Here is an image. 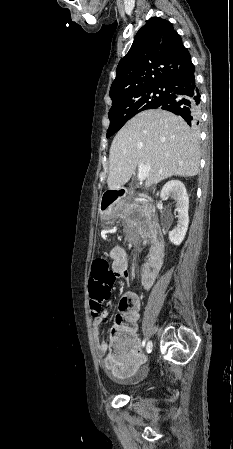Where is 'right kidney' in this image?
Here are the masks:
<instances>
[{"instance_id": "ca27d5eb", "label": "right kidney", "mask_w": 233, "mask_h": 449, "mask_svg": "<svg viewBox=\"0 0 233 449\" xmlns=\"http://www.w3.org/2000/svg\"><path fill=\"white\" fill-rule=\"evenodd\" d=\"M160 196L162 199L170 196L176 201L178 223L177 226L169 232V240L174 245H180L185 238L189 224V197L186 188L181 181L171 180L163 186Z\"/></svg>"}]
</instances>
